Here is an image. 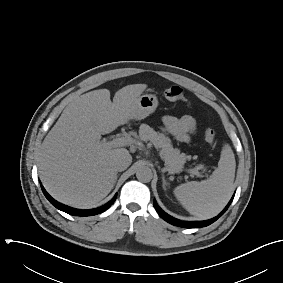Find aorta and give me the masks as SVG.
<instances>
[{"mask_svg":"<svg viewBox=\"0 0 283 283\" xmlns=\"http://www.w3.org/2000/svg\"><path fill=\"white\" fill-rule=\"evenodd\" d=\"M136 177L141 182H150L153 177L151 168L145 165L140 166L137 169Z\"/></svg>","mask_w":283,"mask_h":283,"instance_id":"aorta-1","label":"aorta"}]
</instances>
